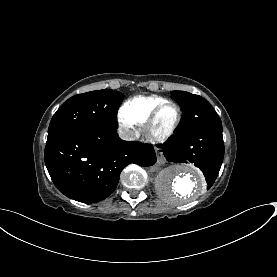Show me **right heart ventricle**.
Listing matches in <instances>:
<instances>
[{"instance_id":"e07e8e85","label":"right heart ventricle","mask_w":277,"mask_h":277,"mask_svg":"<svg viewBox=\"0 0 277 277\" xmlns=\"http://www.w3.org/2000/svg\"><path fill=\"white\" fill-rule=\"evenodd\" d=\"M165 101H168V99L158 96H136L124 103L120 110V116L122 120L130 121L136 125H142L147 121L151 112Z\"/></svg>"}]
</instances>
